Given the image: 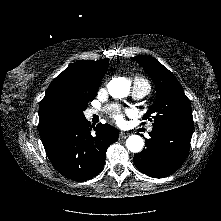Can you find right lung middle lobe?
I'll list each match as a JSON object with an SVG mask.
<instances>
[{
	"instance_id": "1",
	"label": "right lung middle lobe",
	"mask_w": 221,
	"mask_h": 221,
	"mask_svg": "<svg viewBox=\"0 0 221 221\" xmlns=\"http://www.w3.org/2000/svg\"><path fill=\"white\" fill-rule=\"evenodd\" d=\"M97 90L98 89L73 87L66 91L65 97L74 108L79 119L84 118L83 111L87 108L88 102L96 97Z\"/></svg>"
}]
</instances>
